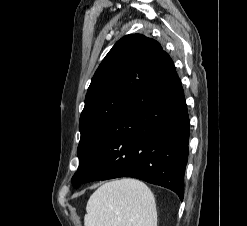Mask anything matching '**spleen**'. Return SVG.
<instances>
[{
  "label": "spleen",
  "instance_id": "1",
  "mask_svg": "<svg viewBox=\"0 0 247 226\" xmlns=\"http://www.w3.org/2000/svg\"><path fill=\"white\" fill-rule=\"evenodd\" d=\"M85 226H157L155 198L142 181H110L89 198Z\"/></svg>",
  "mask_w": 247,
  "mask_h": 226
}]
</instances>
